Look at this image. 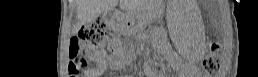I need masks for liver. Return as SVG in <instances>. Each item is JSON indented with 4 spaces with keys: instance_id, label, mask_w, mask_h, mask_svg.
Returning a JSON list of instances; mask_svg holds the SVG:
<instances>
[{
    "instance_id": "1",
    "label": "liver",
    "mask_w": 258,
    "mask_h": 77,
    "mask_svg": "<svg viewBox=\"0 0 258 77\" xmlns=\"http://www.w3.org/2000/svg\"><path fill=\"white\" fill-rule=\"evenodd\" d=\"M118 4V0H77L78 22L76 31L81 26L95 20L101 13L111 10ZM119 7L122 10L128 9L127 1L120 0Z\"/></svg>"
}]
</instances>
